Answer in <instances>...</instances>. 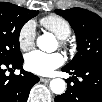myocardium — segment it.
I'll list each match as a JSON object with an SVG mask.
<instances>
[{
  "instance_id": "1",
  "label": "myocardium",
  "mask_w": 102,
  "mask_h": 102,
  "mask_svg": "<svg viewBox=\"0 0 102 102\" xmlns=\"http://www.w3.org/2000/svg\"><path fill=\"white\" fill-rule=\"evenodd\" d=\"M60 47L67 53H72L75 50V44L69 38L60 40Z\"/></svg>"
}]
</instances>
